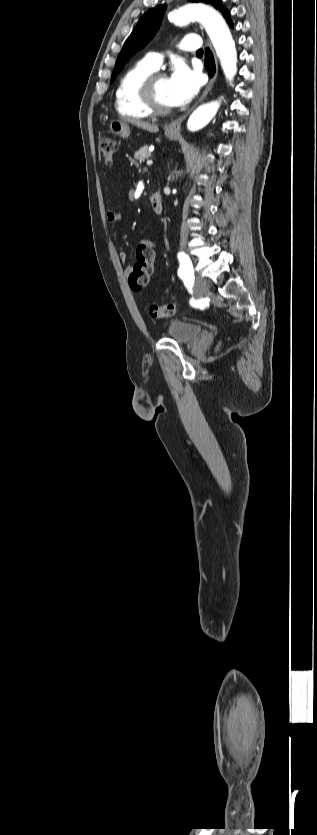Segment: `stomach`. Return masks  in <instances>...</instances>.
<instances>
[{"mask_svg": "<svg viewBox=\"0 0 317 835\" xmlns=\"http://www.w3.org/2000/svg\"><path fill=\"white\" fill-rule=\"evenodd\" d=\"M109 128H110V131L113 134H116V135L124 137V138L128 137L129 133H130L129 125L123 120H113V121H111L110 124H109ZM165 135L170 140H174L177 137L178 133L177 132H171L170 130L167 129V127H165Z\"/></svg>", "mask_w": 317, "mask_h": 835, "instance_id": "0dacf381", "label": "stomach"}]
</instances>
